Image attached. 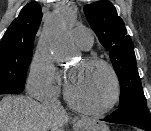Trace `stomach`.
I'll return each mask as SVG.
<instances>
[{"label":"stomach","instance_id":"stomach-1","mask_svg":"<svg viewBox=\"0 0 151 131\" xmlns=\"http://www.w3.org/2000/svg\"><path fill=\"white\" fill-rule=\"evenodd\" d=\"M75 131H109V127L95 119H84L74 126Z\"/></svg>","mask_w":151,"mask_h":131}]
</instances>
